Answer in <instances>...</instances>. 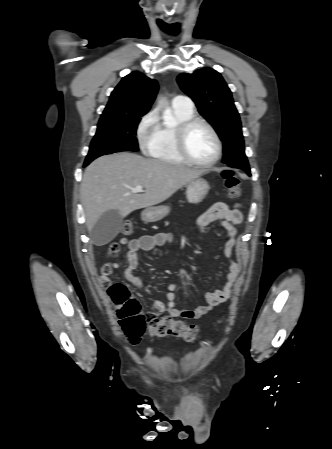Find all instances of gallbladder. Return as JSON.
Segmentation results:
<instances>
[{
  "mask_svg": "<svg viewBox=\"0 0 332 449\" xmlns=\"http://www.w3.org/2000/svg\"><path fill=\"white\" fill-rule=\"evenodd\" d=\"M123 218L117 210L104 212L90 232L92 242L102 246L112 241L119 233Z\"/></svg>",
  "mask_w": 332,
  "mask_h": 449,
  "instance_id": "1",
  "label": "gallbladder"
}]
</instances>
